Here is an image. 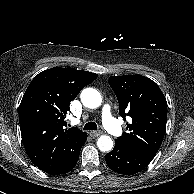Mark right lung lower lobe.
I'll use <instances>...</instances> for the list:
<instances>
[{
  "instance_id": "right-lung-lower-lobe-1",
  "label": "right lung lower lobe",
  "mask_w": 194,
  "mask_h": 194,
  "mask_svg": "<svg viewBox=\"0 0 194 194\" xmlns=\"http://www.w3.org/2000/svg\"><path fill=\"white\" fill-rule=\"evenodd\" d=\"M87 135L83 138V140L80 142L78 147L75 149V151L68 156L67 159L62 161L60 164H58L55 167H52L48 170H45L44 172L50 174V175H59L69 172L76 164L79 158V153L81 147L84 145L86 141Z\"/></svg>"
}]
</instances>
